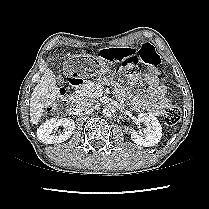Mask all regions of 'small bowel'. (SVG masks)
Segmentation results:
<instances>
[{"label":"small bowel","mask_w":209,"mask_h":209,"mask_svg":"<svg viewBox=\"0 0 209 209\" xmlns=\"http://www.w3.org/2000/svg\"><path fill=\"white\" fill-rule=\"evenodd\" d=\"M125 74L132 85L142 78L140 68L136 64H128L125 67ZM144 81L147 85V91L144 96L129 95L131 105L136 111H147L153 115L159 116L169 104L166 95V87L160 82L158 77L151 73L144 75ZM121 93V92H120Z\"/></svg>","instance_id":"small-bowel-1"}]
</instances>
